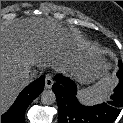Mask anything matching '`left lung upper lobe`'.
I'll use <instances>...</instances> for the list:
<instances>
[{
  "label": "left lung upper lobe",
  "mask_w": 123,
  "mask_h": 123,
  "mask_svg": "<svg viewBox=\"0 0 123 123\" xmlns=\"http://www.w3.org/2000/svg\"><path fill=\"white\" fill-rule=\"evenodd\" d=\"M119 69H120V70H119V73L123 74V65H122V66L120 65V66H119Z\"/></svg>",
  "instance_id": "obj_1"
}]
</instances>
